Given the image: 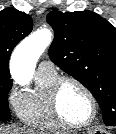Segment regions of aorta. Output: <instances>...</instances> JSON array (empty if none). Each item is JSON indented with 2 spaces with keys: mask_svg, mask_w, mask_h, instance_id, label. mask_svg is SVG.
I'll list each match as a JSON object with an SVG mask.
<instances>
[{
  "mask_svg": "<svg viewBox=\"0 0 116 134\" xmlns=\"http://www.w3.org/2000/svg\"><path fill=\"white\" fill-rule=\"evenodd\" d=\"M52 41L50 30L40 29L15 48L10 62L12 78L20 85H28L33 77L36 62Z\"/></svg>",
  "mask_w": 116,
  "mask_h": 134,
  "instance_id": "obj_1",
  "label": "aorta"
}]
</instances>
